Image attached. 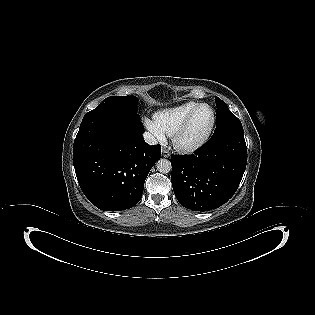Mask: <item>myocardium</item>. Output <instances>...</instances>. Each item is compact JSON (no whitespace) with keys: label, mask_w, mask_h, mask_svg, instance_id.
Listing matches in <instances>:
<instances>
[{"label":"myocardium","mask_w":315,"mask_h":315,"mask_svg":"<svg viewBox=\"0 0 315 315\" xmlns=\"http://www.w3.org/2000/svg\"><path fill=\"white\" fill-rule=\"evenodd\" d=\"M203 107H208L212 112V120H211V124H210L208 130L205 132V134L199 140L195 141L194 143L183 144L181 141L182 137L184 136V134L188 130V128H189L194 116L196 115V113ZM215 123H216L215 109L210 104L200 103L197 107H195L190 112V114L185 118V120L182 122V124L177 128V130L173 134L172 142H173L174 148L177 151L184 153V154H190V153L197 151L209 140V138H210V136L214 130Z\"/></svg>","instance_id":"f54148a6"}]
</instances>
